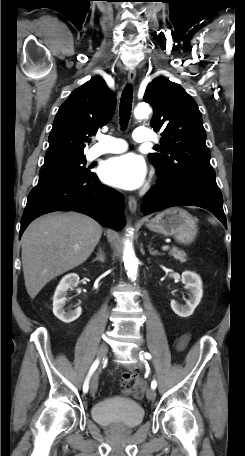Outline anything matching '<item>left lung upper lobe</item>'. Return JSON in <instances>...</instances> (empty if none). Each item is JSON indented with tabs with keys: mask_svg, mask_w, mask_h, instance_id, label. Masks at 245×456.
Listing matches in <instances>:
<instances>
[{
	"mask_svg": "<svg viewBox=\"0 0 245 456\" xmlns=\"http://www.w3.org/2000/svg\"><path fill=\"white\" fill-rule=\"evenodd\" d=\"M144 100L153 107L151 126L162 130L158 153L150 162L162 177L204 179L216 182L206 146V132L195 100L179 85L157 77L147 87Z\"/></svg>",
	"mask_w": 245,
	"mask_h": 456,
	"instance_id": "5c2ea615",
	"label": "left lung upper lobe"
}]
</instances>
